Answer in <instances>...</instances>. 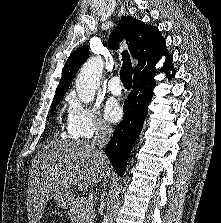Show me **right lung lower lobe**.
<instances>
[{
	"instance_id": "obj_1",
	"label": "right lung lower lobe",
	"mask_w": 221,
	"mask_h": 223,
	"mask_svg": "<svg viewBox=\"0 0 221 223\" xmlns=\"http://www.w3.org/2000/svg\"><path fill=\"white\" fill-rule=\"evenodd\" d=\"M171 70H173L172 65L163 70L169 79H171ZM155 74L133 77V91L124 102V118L117 125L111 140L106 146L105 153L119 176H123L125 172L129 154L147 116L148 105L152 99V90L155 86ZM174 74L175 71H173Z\"/></svg>"
}]
</instances>
